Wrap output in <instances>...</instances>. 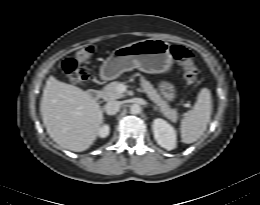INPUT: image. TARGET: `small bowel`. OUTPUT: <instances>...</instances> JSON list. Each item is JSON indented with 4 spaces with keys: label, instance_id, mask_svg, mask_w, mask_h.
<instances>
[{
    "label": "small bowel",
    "instance_id": "obj_1",
    "mask_svg": "<svg viewBox=\"0 0 260 205\" xmlns=\"http://www.w3.org/2000/svg\"><path fill=\"white\" fill-rule=\"evenodd\" d=\"M161 91H162V94L164 95V97H166L167 99H171L173 97V89L170 84L163 83L161 85Z\"/></svg>",
    "mask_w": 260,
    "mask_h": 205
}]
</instances>
